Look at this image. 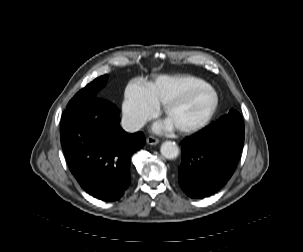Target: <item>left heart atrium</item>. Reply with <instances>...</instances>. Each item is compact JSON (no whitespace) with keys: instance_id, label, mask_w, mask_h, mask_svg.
<instances>
[{"instance_id":"1","label":"left heart atrium","mask_w":303,"mask_h":252,"mask_svg":"<svg viewBox=\"0 0 303 252\" xmlns=\"http://www.w3.org/2000/svg\"><path fill=\"white\" fill-rule=\"evenodd\" d=\"M172 128V124L169 121L158 122L154 125L156 132L168 131Z\"/></svg>"}]
</instances>
